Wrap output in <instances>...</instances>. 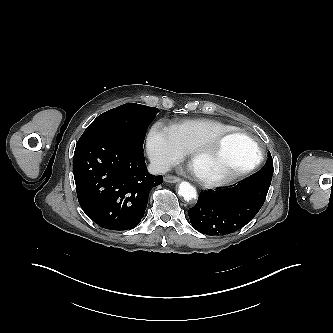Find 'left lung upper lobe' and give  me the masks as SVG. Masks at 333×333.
Segmentation results:
<instances>
[{
	"label": "left lung upper lobe",
	"mask_w": 333,
	"mask_h": 333,
	"mask_svg": "<svg viewBox=\"0 0 333 333\" xmlns=\"http://www.w3.org/2000/svg\"><path fill=\"white\" fill-rule=\"evenodd\" d=\"M260 171H270L273 172V160L270 152H268V159L264 165V167Z\"/></svg>",
	"instance_id": "1"
}]
</instances>
